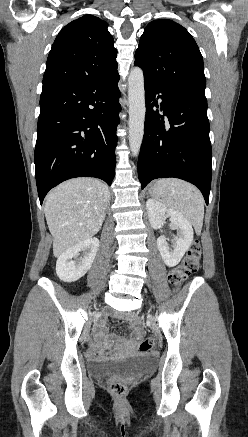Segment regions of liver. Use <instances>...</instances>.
Listing matches in <instances>:
<instances>
[{
  "instance_id": "1",
  "label": "liver",
  "mask_w": 248,
  "mask_h": 437,
  "mask_svg": "<svg viewBox=\"0 0 248 437\" xmlns=\"http://www.w3.org/2000/svg\"><path fill=\"white\" fill-rule=\"evenodd\" d=\"M109 200L108 187L87 177L68 180L49 192L44 212L55 257L97 234Z\"/></svg>"
}]
</instances>
